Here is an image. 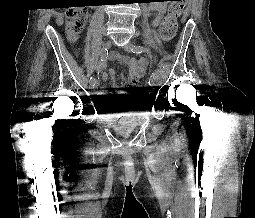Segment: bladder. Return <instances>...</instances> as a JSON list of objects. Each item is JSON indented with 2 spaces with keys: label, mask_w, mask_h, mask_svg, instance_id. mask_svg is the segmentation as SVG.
I'll use <instances>...</instances> for the list:
<instances>
[{
  "label": "bladder",
  "mask_w": 255,
  "mask_h": 218,
  "mask_svg": "<svg viewBox=\"0 0 255 218\" xmlns=\"http://www.w3.org/2000/svg\"><path fill=\"white\" fill-rule=\"evenodd\" d=\"M126 125H127V126H131V125H132V121L126 122Z\"/></svg>",
  "instance_id": "obj_1"
}]
</instances>
